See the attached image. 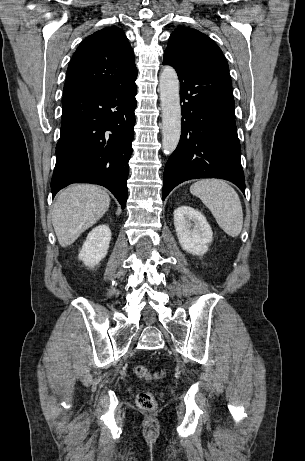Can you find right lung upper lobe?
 I'll return each instance as SVG.
<instances>
[{"label": "right lung upper lobe", "instance_id": "cb5924a9", "mask_svg": "<svg viewBox=\"0 0 305 461\" xmlns=\"http://www.w3.org/2000/svg\"><path fill=\"white\" fill-rule=\"evenodd\" d=\"M137 77L134 52L124 32L108 27L81 42L67 69L64 97L115 87Z\"/></svg>", "mask_w": 305, "mask_h": 461}]
</instances>
